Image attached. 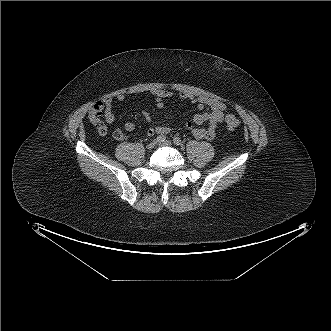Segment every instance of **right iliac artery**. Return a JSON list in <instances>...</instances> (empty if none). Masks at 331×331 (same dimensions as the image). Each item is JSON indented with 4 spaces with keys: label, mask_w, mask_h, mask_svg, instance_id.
<instances>
[{
    "label": "right iliac artery",
    "mask_w": 331,
    "mask_h": 331,
    "mask_svg": "<svg viewBox=\"0 0 331 331\" xmlns=\"http://www.w3.org/2000/svg\"><path fill=\"white\" fill-rule=\"evenodd\" d=\"M166 140V136L165 135H159L155 141L158 143L164 142Z\"/></svg>",
    "instance_id": "82829eb1"
}]
</instances>
